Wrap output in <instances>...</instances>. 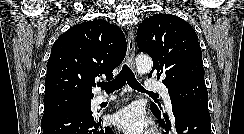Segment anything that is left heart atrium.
<instances>
[{"label":"left heart atrium","mask_w":244,"mask_h":134,"mask_svg":"<svg viewBox=\"0 0 244 134\" xmlns=\"http://www.w3.org/2000/svg\"><path fill=\"white\" fill-rule=\"evenodd\" d=\"M115 125L127 134H149L150 123L138 105L127 106L113 116Z\"/></svg>","instance_id":"39dd6f15"}]
</instances>
